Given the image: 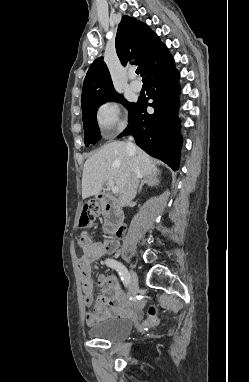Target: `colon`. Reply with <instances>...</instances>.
Here are the masks:
<instances>
[{
    "label": "colon",
    "instance_id": "colon-1",
    "mask_svg": "<svg viewBox=\"0 0 249 382\" xmlns=\"http://www.w3.org/2000/svg\"><path fill=\"white\" fill-rule=\"evenodd\" d=\"M98 212H99V207L96 203L85 204L83 209H82L80 220H79L80 227L87 228V227L93 225ZM118 234H120V232ZM106 241L107 242L112 241V235L111 234L107 235ZM78 243H79L80 247H82V249H84V248L89 247L92 244V240L88 234H82L78 239ZM157 323H158V318H157V314H156V309L154 306H150L148 309V318H147L146 322H144L142 324V327L144 329H147L149 326L156 325Z\"/></svg>",
    "mask_w": 249,
    "mask_h": 382
}]
</instances>
